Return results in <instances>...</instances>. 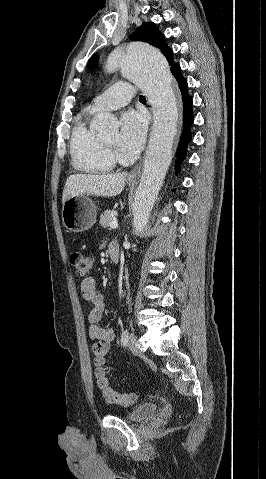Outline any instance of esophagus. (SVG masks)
I'll list each match as a JSON object with an SVG mask.
<instances>
[{"mask_svg": "<svg viewBox=\"0 0 266 479\" xmlns=\"http://www.w3.org/2000/svg\"><path fill=\"white\" fill-rule=\"evenodd\" d=\"M139 171H140V165H137V166H135V167L131 170V172L129 173L128 177H129V178H132V179L136 178L137 175H138V173H139Z\"/></svg>", "mask_w": 266, "mask_h": 479, "instance_id": "esophagus-1", "label": "esophagus"}]
</instances>
